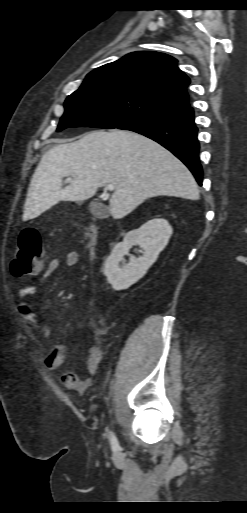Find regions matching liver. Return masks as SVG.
<instances>
[{
    "instance_id": "liver-1",
    "label": "liver",
    "mask_w": 247,
    "mask_h": 513,
    "mask_svg": "<svg viewBox=\"0 0 247 513\" xmlns=\"http://www.w3.org/2000/svg\"><path fill=\"white\" fill-rule=\"evenodd\" d=\"M65 176L72 178L63 188ZM105 184L115 186L109 201L114 219L152 197H200L188 168L159 143L131 131L98 130L42 156L28 188L24 218H35L61 200H88Z\"/></svg>"
}]
</instances>
